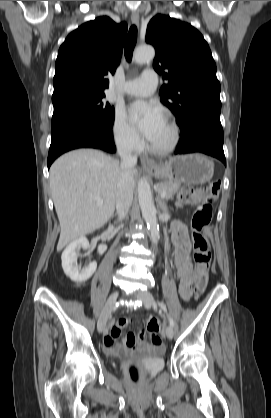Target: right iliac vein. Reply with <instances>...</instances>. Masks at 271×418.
<instances>
[{
  "mask_svg": "<svg viewBox=\"0 0 271 418\" xmlns=\"http://www.w3.org/2000/svg\"><path fill=\"white\" fill-rule=\"evenodd\" d=\"M118 295H119L118 292H114L108 298V300H107V302L104 306V309H103V311L100 315V318L98 320L97 329H98L99 333H102L105 330L107 320L109 318V315H110L111 311L113 310V308L116 304Z\"/></svg>",
  "mask_w": 271,
  "mask_h": 418,
  "instance_id": "right-iliac-vein-1",
  "label": "right iliac vein"
}]
</instances>
